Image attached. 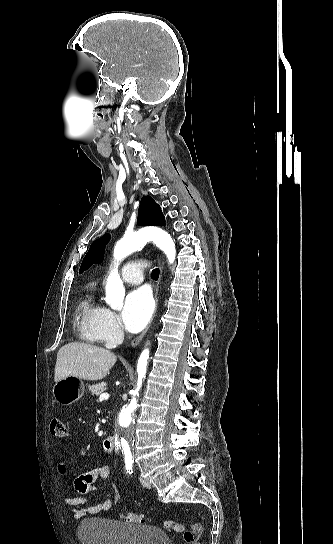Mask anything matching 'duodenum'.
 <instances>
[{
	"label": "duodenum",
	"mask_w": 333,
	"mask_h": 544,
	"mask_svg": "<svg viewBox=\"0 0 333 544\" xmlns=\"http://www.w3.org/2000/svg\"><path fill=\"white\" fill-rule=\"evenodd\" d=\"M115 447V438L113 436H108L103 440V449L106 452H112Z\"/></svg>",
	"instance_id": "obj_1"
}]
</instances>
